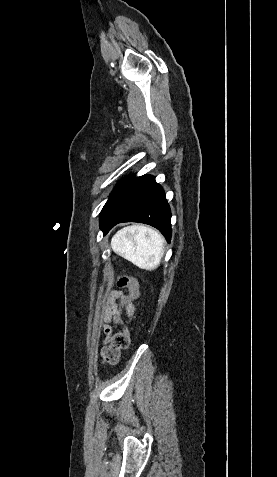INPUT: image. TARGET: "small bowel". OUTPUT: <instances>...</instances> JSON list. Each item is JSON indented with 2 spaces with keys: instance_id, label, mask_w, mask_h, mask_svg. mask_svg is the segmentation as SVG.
I'll return each mask as SVG.
<instances>
[{
  "instance_id": "obj_1",
  "label": "small bowel",
  "mask_w": 277,
  "mask_h": 477,
  "mask_svg": "<svg viewBox=\"0 0 277 477\" xmlns=\"http://www.w3.org/2000/svg\"><path fill=\"white\" fill-rule=\"evenodd\" d=\"M129 293L127 291L126 293H123L121 291H113L104 308V325L103 329L106 334V338L104 339V343H107L110 339L111 333H112V326H117L112 324V316H113V311L116 310V305L118 301H122L123 299H128L129 300V305L127 306V312L128 314H132L133 312V303L131 302V297L127 298L126 294ZM123 324V323H122ZM121 326V325H120Z\"/></svg>"
}]
</instances>
